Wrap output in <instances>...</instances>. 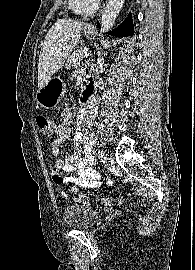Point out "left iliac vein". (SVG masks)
Returning <instances> with one entry per match:
<instances>
[{"mask_svg": "<svg viewBox=\"0 0 195 270\" xmlns=\"http://www.w3.org/2000/svg\"><path fill=\"white\" fill-rule=\"evenodd\" d=\"M103 163L107 169H110L113 164L112 158L108 155H105L103 158Z\"/></svg>", "mask_w": 195, "mask_h": 270, "instance_id": "obj_1", "label": "left iliac vein"}]
</instances>
